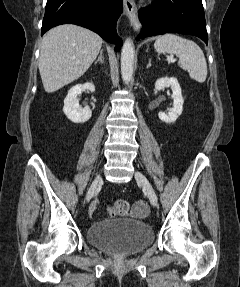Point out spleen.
<instances>
[{"mask_svg": "<svg viewBox=\"0 0 240 287\" xmlns=\"http://www.w3.org/2000/svg\"><path fill=\"white\" fill-rule=\"evenodd\" d=\"M154 48L159 54H175L179 58V66L187 70L192 79L199 83L206 80V59L202 49L194 41L167 33L156 39Z\"/></svg>", "mask_w": 240, "mask_h": 287, "instance_id": "1", "label": "spleen"}]
</instances>
